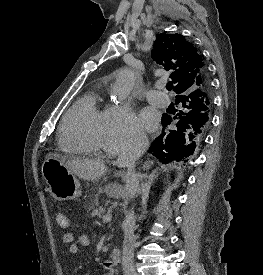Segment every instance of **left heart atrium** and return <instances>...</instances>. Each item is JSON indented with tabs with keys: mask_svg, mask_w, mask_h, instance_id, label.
I'll return each mask as SVG.
<instances>
[{
	"mask_svg": "<svg viewBox=\"0 0 263 275\" xmlns=\"http://www.w3.org/2000/svg\"><path fill=\"white\" fill-rule=\"evenodd\" d=\"M141 125L147 130H154L158 125L157 114L151 109H145L140 116Z\"/></svg>",
	"mask_w": 263,
	"mask_h": 275,
	"instance_id": "39dd6f15",
	"label": "left heart atrium"
}]
</instances>
